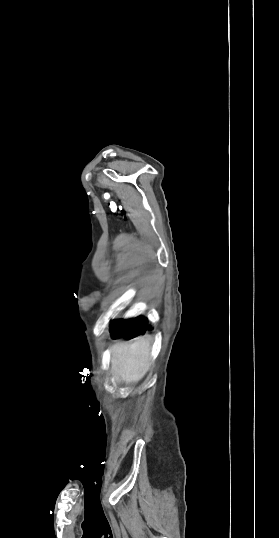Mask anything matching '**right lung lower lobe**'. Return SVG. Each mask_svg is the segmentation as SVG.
<instances>
[{"label":"right lung lower lobe","instance_id":"obj_1","mask_svg":"<svg viewBox=\"0 0 279 538\" xmlns=\"http://www.w3.org/2000/svg\"><path fill=\"white\" fill-rule=\"evenodd\" d=\"M151 329L152 327L148 325L147 318L139 317L127 321H115L112 324L110 333L113 338L123 337L125 339H132L147 333Z\"/></svg>","mask_w":279,"mask_h":538}]
</instances>
